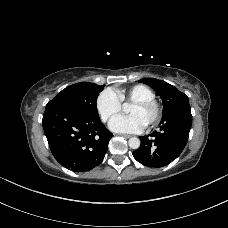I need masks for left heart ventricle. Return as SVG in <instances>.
Segmentation results:
<instances>
[{"instance_id":"b2bd125f","label":"left heart ventricle","mask_w":228,"mask_h":228,"mask_svg":"<svg viewBox=\"0 0 228 228\" xmlns=\"http://www.w3.org/2000/svg\"><path fill=\"white\" fill-rule=\"evenodd\" d=\"M130 115H137L145 123V125L153 118L152 109H144L132 104L129 108Z\"/></svg>"}]
</instances>
